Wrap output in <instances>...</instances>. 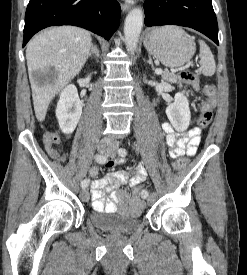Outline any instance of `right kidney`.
<instances>
[{"mask_svg": "<svg viewBox=\"0 0 247 275\" xmlns=\"http://www.w3.org/2000/svg\"><path fill=\"white\" fill-rule=\"evenodd\" d=\"M83 103L80 101L74 85H68L61 92L56 107V117L59 127L65 134H71L81 117Z\"/></svg>", "mask_w": 247, "mask_h": 275, "instance_id": "ca27d5eb", "label": "right kidney"}]
</instances>
